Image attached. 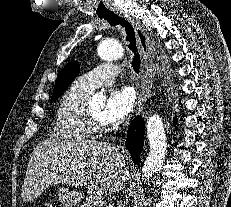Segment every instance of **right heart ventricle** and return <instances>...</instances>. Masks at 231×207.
Segmentation results:
<instances>
[{
    "label": "right heart ventricle",
    "instance_id": "e07e8e85",
    "mask_svg": "<svg viewBox=\"0 0 231 207\" xmlns=\"http://www.w3.org/2000/svg\"><path fill=\"white\" fill-rule=\"evenodd\" d=\"M89 94L79 89L75 83L63 94L53 127L57 138L68 142H83L94 136L95 130L84 115V102Z\"/></svg>",
    "mask_w": 231,
    "mask_h": 207
}]
</instances>
